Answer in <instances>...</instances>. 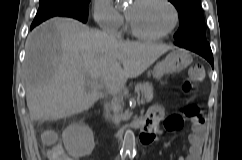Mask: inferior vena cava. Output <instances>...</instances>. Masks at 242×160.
Returning a JSON list of instances; mask_svg holds the SVG:
<instances>
[{
  "instance_id": "1",
  "label": "inferior vena cava",
  "mask_w": 242,
  "mask_h": 160,
  "mask_svg": "<svg viewBox=\"0 0 242 160\" xmlns=\"http://www.w3.org/2000/svg\"><path fill=\"white\" fill-rule=\"evenodd\" d=\"M104 110H105L106 118H109V116H110V107H109V104L107 102L104 104Z\"/></svg>"
}]
</instances>
